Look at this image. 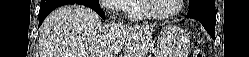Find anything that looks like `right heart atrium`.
I'll return each instance as SVG.
<instances>
[{
  "label": "right heart atrium",
  "instance_id": "right-heart-atrium-1",
  "mask_svg": "<svg viewBox=\"0 0 249 57\" xmlns=\"http://www.w3.org/2000/svg\"><path fill=\"white\" fill-rule=\"evenodd\" d=\"M127 0H105L102 4L114 14L120 15L126 11Z\"/></svg>",
  "mask_w": 249,
  "mask_h": 57
}]
</instances>
